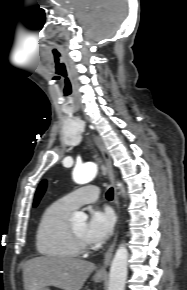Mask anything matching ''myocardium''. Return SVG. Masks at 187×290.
I'll return each mask as SVG.
<instances>
[{
	"label": "myocardium",
	"mask_w": 187,
	"mask_h": 290,
	"mask_svg": "<svg viewBox=\"0 0 187 290\" xmlns=\"http://www.w3.org/2000/svg\"><path fill=\"white\" fill-rule=\"evenodd\" d=\"M68 234L78 253H84L90 250L91 247L89 242L85 241L79 235H77L70 223H68Z\"/></svg>",
	"instance_id": "f54148a6"
}]
</instances>
